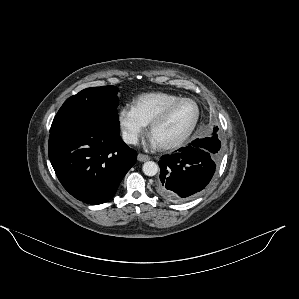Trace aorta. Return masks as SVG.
I'll return each mask as SVG.
<instances>
[{"mask_svg":"<svg viewBox=\"0 0 299 299\" xmlns=\"http://www.w3.org/2000/svg\"><path fill=\"white\" fill-rule=\"evenodd\" d=\"M143 173L147 176H154L158 172V165L153 161H147L142 167Z\"/></svg>","mask_w":299,"mask_h":299,"instance_id":"aorta-1","label":"aorta"}]
</instances>
